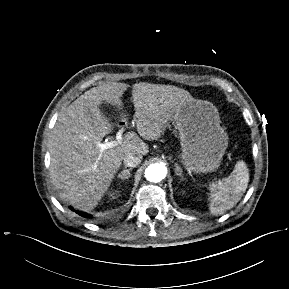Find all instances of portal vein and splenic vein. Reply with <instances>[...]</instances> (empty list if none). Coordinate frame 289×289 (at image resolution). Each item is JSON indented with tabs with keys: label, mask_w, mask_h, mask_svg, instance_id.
<instances>
[{
	"label": "portal vein and splenic vein",
	"mask_w": 289,
	"mask_h": 289,
	"mask_svg": "<svg viewBox=\"0 0 289 289\" xmlns=\"http://www.w3.org/2000/svg\"><path fill=\"white\" fill-rule=\"evenodd\" d=\"M122 134H123V130H119L116 134V140L106 141L104 143H98V147L101 149V151H104L106 149L117 146L118 144L122 142Z\"/></svg>",
	"instance_id": "portal-vein-and-splenic-vein-1"
}]
</instances>
